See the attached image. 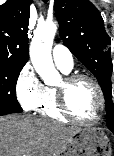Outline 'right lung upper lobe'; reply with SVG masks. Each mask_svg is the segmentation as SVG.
I'll list each match as a JSON object with an SVG mask.
<instances>
[{
    "label": "right lung upper lobe",
    "instance_id": "cb5924a9",
    "mask_svg": "<svg viewBox=\"0 0 114 156\" xmlns=\"http://www.w3.org/2000/svg\"><path fill=\"white\" fill-rule=\"evenodd\" d=\"M31 2L32 0H7L0 6V62L23 66L27 63Z\"/></svg>",
    "mask_w": 114,
    "mask_h": 156
}]
</instances>
